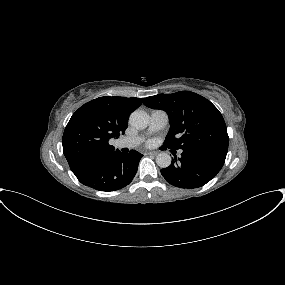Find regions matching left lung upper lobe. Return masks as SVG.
Returning a JSON list of instances; mask_svg holds the SVG:
<instances>
[{"label": "left lung upper lobe", "instance_id": "left-lung-upper-lobe-1", "mask_svg": "<svg viewBox=\"0 0 285 285\" xmlns=\"http://www.w3.org/2000/svg\"><path fill=\"white\" fill-rule=\"evenodd\" d=\"M144 104L164 110L169 116L171 127L164 147L227 155L229 137L226 124L219 110L206 98L190 91H180L147 97Z\"/></svg>", "mask_w": 285, "mask_h": 285}]
</instances>
